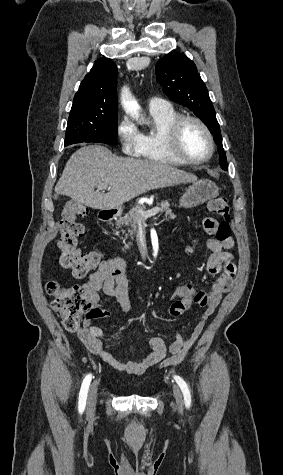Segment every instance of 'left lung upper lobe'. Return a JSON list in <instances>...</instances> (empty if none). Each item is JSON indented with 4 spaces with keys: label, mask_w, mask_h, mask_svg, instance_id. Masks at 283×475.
<instances>
[{
    "label": "left lung upper lobe",
    "mask_w": 283,
    "mask_h": 475,
    "mask_svg": "<svg viewBox=\"0 0 283 475\" xmlns=\"http://www.w3.org/2000/svg\"><path fill=\"white\" fill-rule=\"evenodd\" d=\"M156 74L163 92L192 110L206 124L215 140H222L215 110L194 62L184 53L170 52L156 64Z\"/></svg>",
    "instance_id": "5c2ea615"
}]
</instances>
